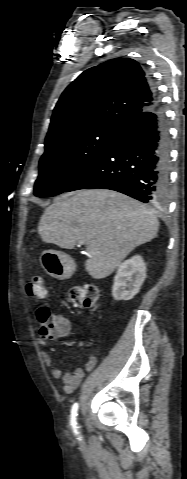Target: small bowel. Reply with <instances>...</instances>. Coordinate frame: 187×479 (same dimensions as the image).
Segmentation results:
<instances>
[{
    "label": "small bowel",
    "instance_id": "small-bowel-1",
    "mask_svg": "<svg viewBox=\"0 0 187 479\" xmlns=\"http://www.w3.org/2000/svg\"><path fill=\"white\" fill-rule=\"evenodd\" d=\"M54 318L61 326V332L57 338L68 336L71 331L70 321L62 314H56L54 315ZM87 323L91 325V322L88 321ZM40 345L45 346L46 342L41 341ZM41 356L52 377L61 381L63 391L66 394H72L76 390L82 382L85 373L92 371L97 362L96 357L93 354H88L83 367L78 366L72 371L64 372L61 368L54 365L53 360L48 353L42 352Z\"/></svg>",
    "mask_w": 187,
    "mask_h": 479
}]
</instances>
